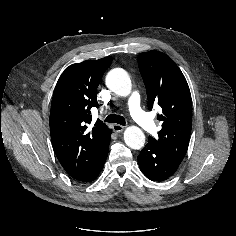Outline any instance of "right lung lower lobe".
I'll return each instance as SVG.
<instances>
[{
    "mask_svg": "<svg viewBox=\"0 0 236 236\" xmlns=\"http://www.w3.org/2000/svg\"><path fill=\"white\" fill-rule=\"evenodd\" d=\"M108 150H109V145L107 147L106 152L95 162V164L85 174L77 178V180L82 182L93 181L98 176V174L100 173V171L104 166V163L108 155Z\"/></svg>",
    "mask_w": 236,
    "mask_h": 236,
    "instance_id": "1",
    "label": "right lung lower lobe"
}]
</instances>
